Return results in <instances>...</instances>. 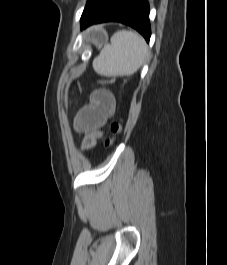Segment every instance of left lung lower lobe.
Masks as SVG:
<instances>
[{"label": "left lung lower lobe", "mask_w": 227, "mask_h": 265, "mask_svg": "<svg viewBox=\"0 0 227 265\" xmlns=\"http://www.w3.org/2000/svg\"><path fill=\"white\" fill-rule=\"evenodd\" d=\"M107 21H117L131 26L149 42L151 28L147 0H106L90 16L81 21V29Z\"/></svg>", "instance_id": "obj_1"}]
</instances>
